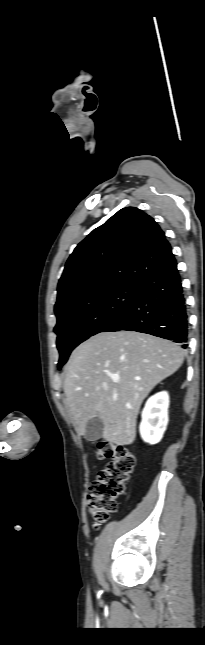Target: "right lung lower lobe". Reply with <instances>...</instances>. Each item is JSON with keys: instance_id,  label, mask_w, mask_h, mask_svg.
Segmentation results:
<instances>
[{"instance_id": "1", "label": "right lung lower lobe", "mask_w": 205, "mask_h": 645, "mask_svg": "<svg viewBox=\"0 0 205 645\" xmlns=\"http://www.w3.org/2000/svg\"><path fill=\"white\" fill-rule=\"evenodd\" d=\"M133 330L188 344V316L177 262L164 266L137 284L136 299L101 332Z\"/></svg>"}]
</instances>
